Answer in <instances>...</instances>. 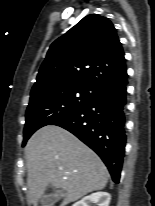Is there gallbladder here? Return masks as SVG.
Returning a JSON list of instances; mask_svg holds the SVG:
<instances>
[{"mask_svg":"<svg viewBox=\"0 0 155 206\" xmlns=\"http://www.w3.org/2000/svg\"><path fill=\"white\" fill-rule=\"evenodd\" d=\"M64 196L63 190L52 189L40 199L41 206H54Z\"/></svg>","mask_w":155,"mask_h":206,"instance_id":"obj_1","label":"gallbladder"}]
</instances>
